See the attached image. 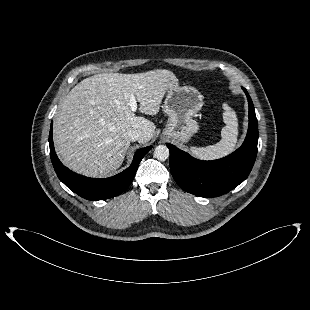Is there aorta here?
I'll use <instances>...</instances> for the list:
<instances>
[{
    "label": "aorta",
    "mask_w": 310,
    "mask_h": 310,
    "mask_svg": "<svg viewBox=\"0 0 310 310\" xmlns=\"http://www.w3.org/2000/svg\"><path fill=\"white\" fill-rule=\"evenodd\" d=\"M169 149L165 145H158L154 149V157L160 161H165L169 158Z\"/></svg>",
    "instance_id": "obj_1"
}]
</instances>
